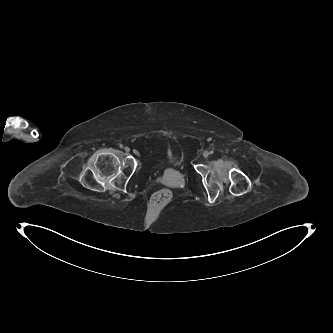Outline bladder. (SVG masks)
Wrapping results in <instances>:
<instances>
[{"instance_id":"31cf9c89","label":"bladder","mask_w":333,"mask_h":333,"mask_svg":"<svg viewBox=\"0 0 333 333\" xmlns=\"http://www.w3.org/2000/svg\"><path fill=\"white\" fill-rule=\"evenodd\" d=\"M164 164L172 168H181L182 159L174 153L168 152L165 156Z\"/></svg>"}]
</instances>
